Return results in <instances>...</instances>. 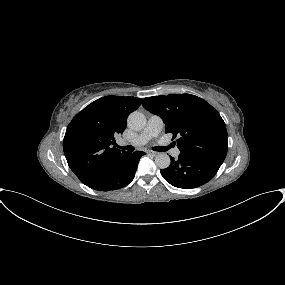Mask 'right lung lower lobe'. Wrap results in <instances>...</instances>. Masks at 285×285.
Instances as JSON below:
<instances>
[{"instance_id":"1","label":"right lung lower lobe","mask_w":285,"mask_h":285,"mask_svg":"<svg viewBox=\"0 0 285 285\" xmlns=\"http://www.w3.org/2000/svg\"><path fill=\"white\" fill-rule=\"evenodd\" d=\"M144 154L142 151L128 152L115 164L82 180V183L98 191L123 188L133 180L138 162Z\"/></svg>"}]
</instances>
